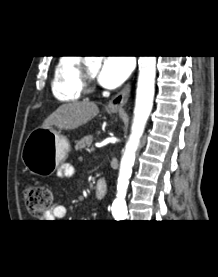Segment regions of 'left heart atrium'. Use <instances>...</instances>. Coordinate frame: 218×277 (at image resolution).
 <instances>
[{"label": "left heart atrium", "mask_w": 218, "mask_h": 277, "mask_svg": "<svg viewBox=\"0 0 218 277\" xmlns=\"http://www.w3.org/2000/svg\"><path fill=\"white\" fill-rule=\"evenodd\" d=\"M131 69L132 63L128 57H106L97 78L104 87L115 88L128 77Z\"/></svg>", "instance_id": "1"}]
</instances>
